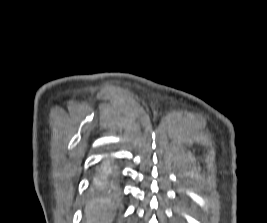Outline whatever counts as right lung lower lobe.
Instances as JSON below:
<instances>
[{"instance_id": "right-lung-lower-lobe-1", "label": "right lung lower lobe", "mask_w": 267, "mask_h": 223, "mask_svg": "<svg viewBox=\"0 0 267 223\" xmlns=\"http://www.w3.org/2000/svg\"><path fill=\"white\" fill-rule=\"evenodd\" d=\"M120 173L116 162L112 160L104 161L99 167L96 177V186L105 188L116 184L119 181Z\"/></svg>"}]
</instances>
